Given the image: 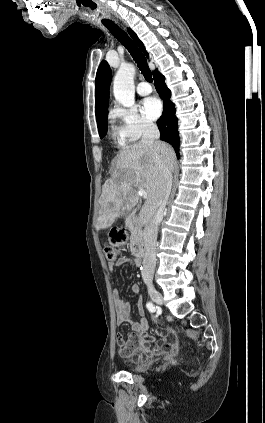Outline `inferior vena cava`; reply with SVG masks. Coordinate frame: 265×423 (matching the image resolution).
<instances>
[{
	"mask_svg": "<svg viewBox=\"0 0 265 423\" xmlns=\"http://www.w3.org/2000/svg\"><path fill=\"white\" fill-rule=\"evenodd\" d=\"M160 132L158 127L152 122H145L143 124L142 138L140 143L154 149V154L160 162V167L163 173V185L161 187L160 199L157 210L152 220L145 225L143 231V241L145 254L142 263L141 275L143 280H151L154 275L156 266V242L158 234V223L163 217V211L169 198L172 188V170L173 165L167 157L162 154L165 153V146L159 141Z\"/></svg>",
	"mask_w": 265,
	"mask_h": 423,
	"instance_id": "inferior-vena-cava-1",
	"label": "inferior vena cava"
}]
</instances>
